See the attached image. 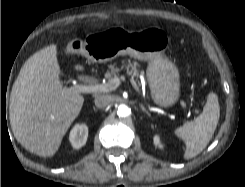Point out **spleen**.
Here are the masks:
<instances>
[{
	"mask_svg": "<svg viewBox=\"0 0 245 187\" xmlns=\"http://www.w3.org/2000/svg\"><path fill=\"white\" fill-rule=\"evenodd\" d=\"M219 117L218 96L210 92L202 114L174 131V134L186 145L184 159H191L203 151L215 132Z\"/></svg>",
	"mask_w": 245,
	"mask_h": 187,
	"instance_id": "obj_1",
	"label": "spleen"
}]
</instances>
